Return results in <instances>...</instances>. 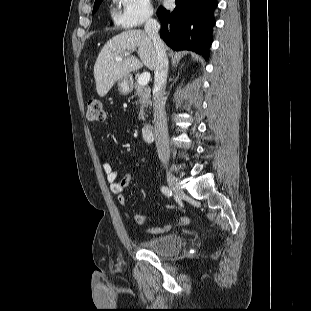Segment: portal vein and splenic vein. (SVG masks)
<instances>
[{
  "mask_svg": "<svg viewBox=\"0 0 311 311\" xmlns=\"http://www.w3.org/2000/svg\"><path fill=\"white\" fill-rule=\"evenodd\" d=\"M125 55H126V56L129 55V53H125ZM116 60H117V61H121V60H122V56L116 57ZM149 80H150V73H149V72H145V73H142V74L140 75V77L138 78V83H139L140 85L145 86V85L148 84Z\"/></svg>",
  "mask_w": 311,
  "mask_h": 311,
  "instance_id": "obj_1",
  "label": "portal vein and splenic vein"
}]
</instances>
